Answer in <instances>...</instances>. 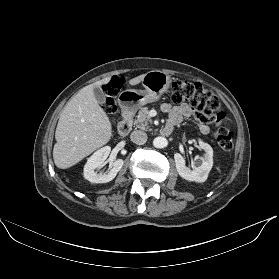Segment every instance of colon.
Returning <instances> with one entry per match:
<instances>
[{
  "label": "colon",
  "instance_id": "5ec220e1",
  "mask_svg": "<svg viewBox=\"0 0 279 279\" xmlns=\"http://www.w3.org/2000/svg\"><path fill=\"white\" fill-rule=\"evenodd\" d=\"M123 84V80L116 78L105 86L104 110L106 113L112 115L116 112L115 97ZM170 98L175 104L188 103L193 110L194 116L201 123H210L216 127L214 139L218 145L227 151L232 149L233 135L223 125L226 115L222 111L219 98L213 91L205 88L200 83L176 81L172 84Z\"/></svg>",
  "mask_w": 279,
  "mask_h": 279
}]
</instances>
